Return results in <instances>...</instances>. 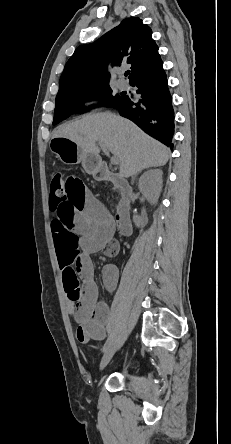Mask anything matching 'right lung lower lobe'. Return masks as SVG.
Segmentation results:
<instances>
[{"instance_id": "1", "label": "right lung lower lobe", "mask_w": 231, "mask_h": 444, "mask_svg": "<svg viewBox=\"0 0 231 444\" xmlns=\"http://www.w3.org/2000/svg\"><path fill=\"white\" fill-rule=\"evenodd\" d=\"M130 84L138 87L140 99L136 101L125 95L112 107L172 149L174 111L163 65L136 78Z\"/></svg>"}]
</instances>
